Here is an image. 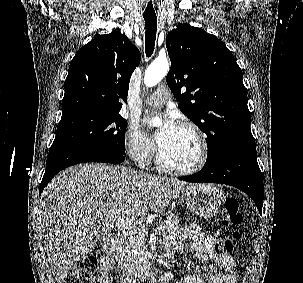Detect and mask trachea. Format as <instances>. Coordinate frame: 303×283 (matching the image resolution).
<instances>
[{
	"mask_svg": "<svg viewBox=\"0 0 303 283\" xmlns=\"http://www.w3.org/2000/svg\"><path fill=\"white\" fill-rule=\"evenodd\" d=\"M145 20V52L150 57L153 54L156 40L157 17L144 15Z\"/></svg>",
	"mask_w": 303,
	"mask_h": 283,
	"instance_id": "3493384b",
	"label": "trachea"
}]
</instances>
